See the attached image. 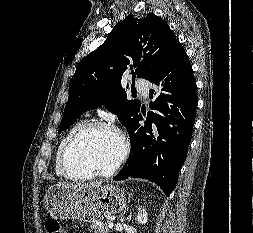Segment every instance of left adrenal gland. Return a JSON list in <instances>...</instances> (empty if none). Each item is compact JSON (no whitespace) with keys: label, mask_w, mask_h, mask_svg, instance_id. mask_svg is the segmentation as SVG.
Segmentation results:
<instances>
[{"label":"left adrenal gland","mask_w":253,"mask_h":233,"mask_svg":"<svg viewBox=\"0 0 253 233\" xmlns=\"http://www.w3.org/2000/svg\"><path fill=\"white\" fill-rule=\"evenodd\" d=\"M131 194H128V202H130ZM125 214V211L123 212Z\"/></svg>","instance_id":"1"}]
</instances>
